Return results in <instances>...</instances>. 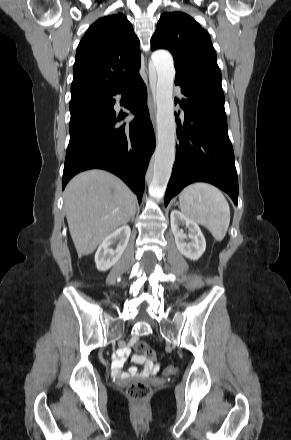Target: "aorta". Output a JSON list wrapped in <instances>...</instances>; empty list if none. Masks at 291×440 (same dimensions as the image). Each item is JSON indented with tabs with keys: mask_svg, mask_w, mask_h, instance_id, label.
Returning a JSON list of instances; mask_svg holds the SVG:
<instances>
[{
	"mask_svg": "<svg viewBox=\"0 0 291 440\" xmlns=\"http://www.w3.org/2000/svg\"><path fill=\"white\" fill-rule=\"evenodd\" d=\"M152 62L158 76L155 92L158 143L153 157V174L149 193L154 197H162L171 176L176 152L173 101L175 69L173 58L167 51L154 52Z\"/></svg>",
	"mask_w": 291,
	"mask_h": 440,
	"instance_id": "obj_1",
	"label": "aorta"
}]
</instances>
